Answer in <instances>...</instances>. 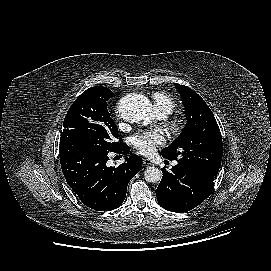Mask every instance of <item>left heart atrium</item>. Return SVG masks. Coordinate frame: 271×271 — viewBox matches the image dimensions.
<instances>
[{"label": "left heart atrium", "mask_w": 271, "mask_h": 271, "mask_svg": "<svg viewBox=\"0 0 271 271\" xmlns=\"http://www.w3.org/2000/svg\"><path fill=\"white\" fill-rule=\"evenodd\" d=\"M163 141V135L159 130L139 132L133 137L135 149L144 156L152 155Z\"/></svg>", "instance_id": "left-heart-atrium-1"}]
</instances>
